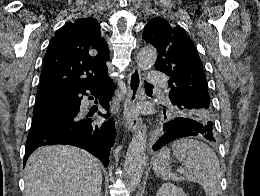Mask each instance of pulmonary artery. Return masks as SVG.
<instances>
[{
	"mask_svg": "<svg viewBox=\"0 0 260 196\" xmlns=\"http://www.w3.org/2000/svg\"><path fill=\"white\" fill-rule=\"evenodd\" d=\"M146 84H166L165 76L163 72H149V76L146 79Z\"/></svg>",
	"mask_w": 260,
	"mask_h": 196,
	"instance_id": "1",
	"label": "pulmonary artery"
}]
</instances>
